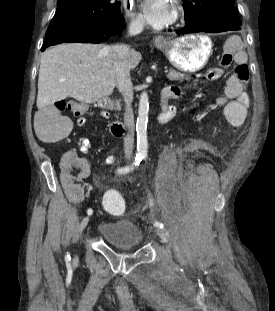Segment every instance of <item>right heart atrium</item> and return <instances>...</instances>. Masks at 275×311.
Segmentation results:
<instances>
[{
  "instance_id": "d8ad5b80",
  "label": "right heart atrium",
  "mask_w": 275,
  "mask_h": 311,
  "mask_svg": "<svg viewBox=\"0 0 275 311\" xmlns=\"http://www.w3.org/2000/svg\"><path fill=\"white\" fill-rule=\"evenodd\" d=\"M125 13L130 28L140 30L143 27V20L140 15L134 12L130 3H125Z\"/></svg>"
}]
</instances>
